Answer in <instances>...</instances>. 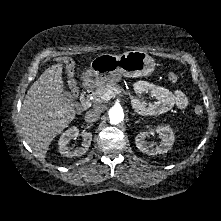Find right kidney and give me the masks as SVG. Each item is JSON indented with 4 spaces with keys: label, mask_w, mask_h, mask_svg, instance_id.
Returning a JSON list of instances; mask_svg holds the SVG:
<instances>
[{
    "label": "right kidney",
    "mask_w": 221,
    "mask_h": 221,
    "mask_svg": "<svg viewBox=\"0 0 221 221\" xmlns=\"http://www.w3.org/2000/svg\"><path fill=\"white\" fill-rule=\"evenodd\" d=\"M79 135V130L76 127L69 128L66 130L59 139V152L66 157H75L81 156L85 154L91 144L92 141V133L90 132H82L83 143L82 147L76 148L75 150H71L68 146L69 142L72 139L77 138Z\"/></svg>",
    "instance_id": "ca27d5eb"
}]
</instances>
